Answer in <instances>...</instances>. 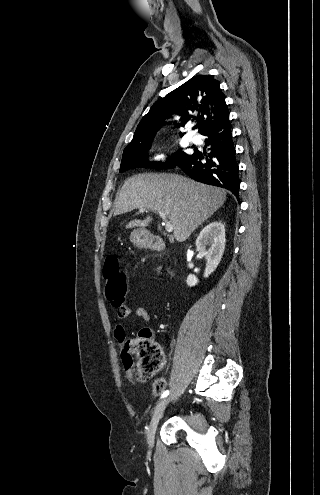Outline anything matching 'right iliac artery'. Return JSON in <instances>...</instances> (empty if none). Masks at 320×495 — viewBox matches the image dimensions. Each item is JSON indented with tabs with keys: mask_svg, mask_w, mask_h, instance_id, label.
Wrapping results in <instances>:
<instances>
[{
	"mask_svg": "<svg viewBox=\"0 0 320 495\" xmlns=\"http://www.w3.org/2000/svg\"><path fill=\"white\" fill-rule=\"evenodd\" d=\"M169 395V390H165L162 394H161V398H164L166 396Z\"/></svg>",
	"mask_w": 320,
	"mask_h": 495,
	"instance_id": "obj_1",
	"label": "right iliac artery"
}]
</instances>
